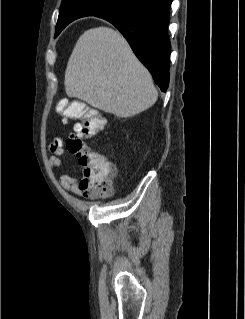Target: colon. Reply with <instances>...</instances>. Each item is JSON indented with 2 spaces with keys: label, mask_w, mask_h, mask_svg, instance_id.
Masks as SVG:
<instances>
[{
  "label": "colon",
  "mask_w": 245,
  "mask_h": 319,
  "mask_svg": "<svg viewBox=\"0 0 245 319\" xmlns=\"http://www.w3.org/2000/svg\"><path fill=\"white\" fill-rule=\"evenodd\" d=\"M57 110L63 117L77 120L67 140V150L76 156L81 168L78 184L81 193L89 197L110 195L116 168L103 155L88 149L84 142L104 129L105 119L98 111L78 101L61 100Z\"/></svg>",
  "instance_id": "1"
}]
</instances>
